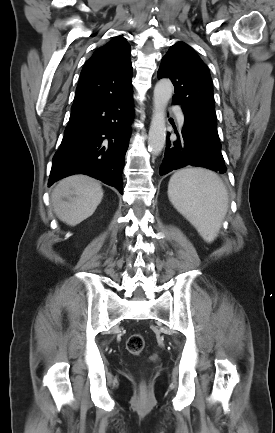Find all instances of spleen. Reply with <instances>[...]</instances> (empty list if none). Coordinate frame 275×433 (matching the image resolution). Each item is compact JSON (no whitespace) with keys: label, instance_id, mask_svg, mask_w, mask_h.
<instances>
[{"label":"spleen","instance_id":"spleen-1","mask_svg":"<svg viewBox=\"0 0 275 433\" xmlns=\"http://www.w3.org/2000/svg\"><path fill=\"white\" fill-rule=\"evenodd\" d=\"M168 197L206 242L214 240L228 209V192L216 173L181 169L170 178Z\"/></svg>","mask_w":275,"mask_h":433}]
</instances>
